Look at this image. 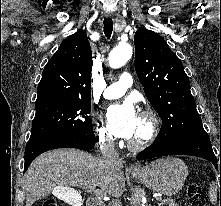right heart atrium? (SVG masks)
<instances>
[{"label":"right heart atrium","instance_id":"obj_1","mask_svg":"<svg viewBox=\"0 0 221 206\" xmlns=\"http://www.w3.org/2000/svg\"><path fill=\"white\" fill-rule=\"evenodd\" d=\"M97 137L104 146H111L114 142L112 134L103 126L97 127Z\"/></svg>","mask_w":221,"mask_h":206}]
</instances>
